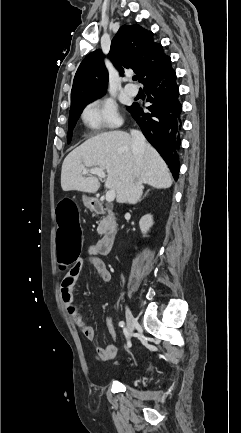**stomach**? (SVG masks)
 <instances>
[{
	"mask_svg": "<svg viewBox=\"0 0 241 433\" xmlns=\"http://www.w3.org/2000/svg\"><path fill=\"white\" fill-rule=\"evenodd\" d=\"M83 203H84V205L87 207V208H90L91 207V199L90 198H88V197H86V196H83Z\"/></svg>",
	"mask_w": 241,
	"mask_h": 433,
	"instance_id": "obj_1",
	"label": "stomach"
}]
</instances>
